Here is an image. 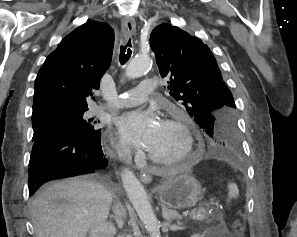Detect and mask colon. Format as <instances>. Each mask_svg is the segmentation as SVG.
Wrapping results in <instances>:
<instances>
[{
  "label": "colon",
  "mask_w": 297,
  "mask_h": 237,
  "mask_svg": "<svg viewBox=\"0 0 297 237\" xmlns=\"http://www.w3.org/2000/svg\"><path fill=\"white\" fill-rule=\"evenodd\" d=\"M238 237H242V235H241V231H240V235H239Z\"/></svg>",
  "instance_id": "obj_1"
}]
</instances>
